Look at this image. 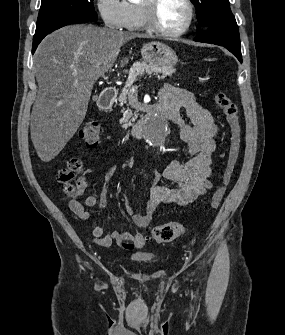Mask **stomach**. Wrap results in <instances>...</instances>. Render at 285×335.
<instances>
[{
  "label": "stomach",
  "mask_w": 285,
  "mask_h": 335,
  "mask_svg": "<svg viewBox=\"0 0 285 335\" xmlns=\"http://www.w3.org/2000/svg\"><path fill=\"white\" fill-rule=\"evenodd\" d=\"M141 56L147 64H157V66H171L172 68L178 62L176 52L161 42L143 44Z\"/></svg>",
  "instance_id": "0dacf381"
}]
</instances>
